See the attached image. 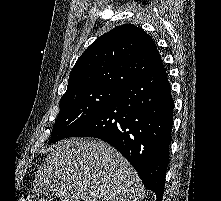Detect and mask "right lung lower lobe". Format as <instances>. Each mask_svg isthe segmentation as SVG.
I'll list each match as a JSON object with an SVG mask.
<instances>
[{"label":"right lung lower lobe","mask_w":221,"mask_h":201,"mask_svg":"<svg viewBox=\"0 0 221 201\" xmlns=\"http://www.w3.org/2000/svg\"><path fill=\"white\" fill-rule=\"evenodd\" d=\"M174 101L161 64L118 90L67 137L99 138L115 147L162 201L169 162Z\"/></svg>","instance_id":"1"}]
</instances>
